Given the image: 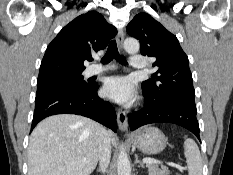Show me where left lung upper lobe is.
<instances>
[{"instance_id": "left-lung-upper-lobe-1", "label": "left lung upper lobe", "mask_w": 233, "mask_h": 175, "mask_svg": "<svg viewBox=\"0 0 233 175\" xmlns=\"http://www.w3.org/2000/svg\"><path fill=\"white\" fill-rule=\"evenodd\" d=\"M127 32L140 41L142 55L156 58L158 70L142 82L143 93L157 102L178 94L195 96L189 60L175 35L147 13L137 14Z\"/></svg>"}]
</instances>
